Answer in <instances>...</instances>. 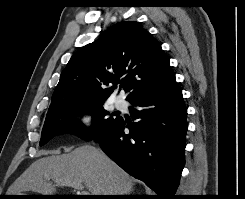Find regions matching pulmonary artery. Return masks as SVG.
<instances>
[{
	"label": "pulmonary artery",
	"mask_w": 245,
	"mask_h": 199,
	"mask_svg": "<svg viewBox=\"0 0 245 199\" xmlns=\"http://www.w3.org/2000/svg\"><path fill=\"white\" fill-rule=\"evenodd\" d=\"M114 107L116 109H122L124 107V101L120 98L114 100Z\"/></svg>",
	"instance_id": "obj_1"
}]
</instances>
